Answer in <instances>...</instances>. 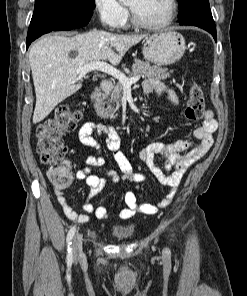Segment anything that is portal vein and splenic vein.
Instances as JSON below:
<instances>
[{
  "label": "portal vein and splenic vein",
  "mask_w": 247,
  "mask_h": 296,
  "mask_svg": "<svg viewBox=\"0 0 247 296\" xmlns=\"http://www.w3.org/2000/svg\"><path fill=\"white\" fill-rule=\"evenodd\" d=\"M101 71L106 74H109L116 78L119 83L123 86L124 89H130L131 85L139 81L140 76H135L128 78L124 73L116 69L115 67L103 62V61H97V62H90L76 70V72L80 75L83 76L86 73L90 71Z\"/></svg>",
  "instance_id": "portal-vein-and-splenic-vein-1"
}]
</instances>
